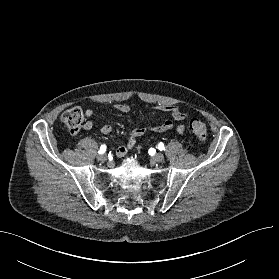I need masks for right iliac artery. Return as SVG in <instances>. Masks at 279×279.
Wrapping results in <instances>:
<instances>
[{"label": "right iliac artery", "instance_id": "right-iliac-artery-1", "mask_svg": "<svg viewBox=\"0 0 279 279\" xmlns=\"http://www.w3.org/2000/svg\"><path fill=\"white\" fill-rule=\"evenodd\" d=\"M106 151V145H101L99 154H103Z\"/></svg>", "mask_w": 279, "mask_h": 279}]
</instances>
